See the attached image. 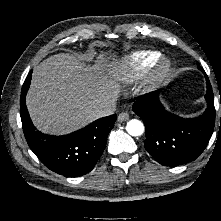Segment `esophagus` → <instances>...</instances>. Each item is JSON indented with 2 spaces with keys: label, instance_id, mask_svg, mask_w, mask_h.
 <instances>
[{
  "label": "esophagus",
  "instance_id": "1",
  "mask_svg": "<svg viewBox=\"0 0 221 221\" xmlns=\"http://www.w3.org/2000/svg\"><path fill=\"white\" fill-rule=\"evenodd\" d=\"M128 119H129V114L126 111H123L118 115V122H124L127 121Z\"/></svg>",
  "mask_w": 221,
  "mask_h": 221
}]
</instances>
